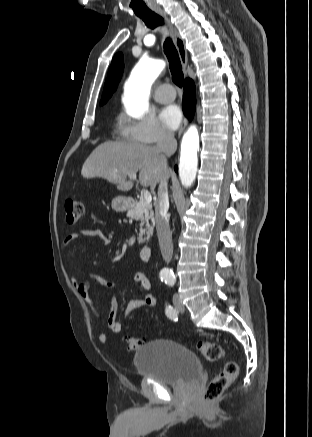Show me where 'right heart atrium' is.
I'll return each instance as SVG.
<instances>
[{
	"instance_id": "d8ad5b80",
	"label": "right heart atrium",
	"mask_w": 312,
	"mask_h": 437,
	"mask_svg": "<svg viewBox=\"0 0 312 437\" xmlns=\"http://www.w3.org/2000/svg\"><path fill=\"white\" fill-rule=\"evenodd\" d=\"M118 136L121 140L140 144L165 143L172 134L152 115L131 118L121 114L118 119Z\"/></svg>"
}]
</instances>
